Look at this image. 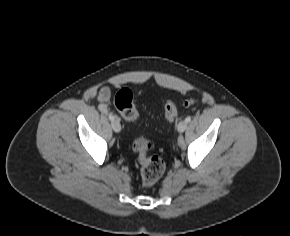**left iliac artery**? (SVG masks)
Wrapping results in <instances>:
<instances>
[{
	"label": "left iliac artery",
	"instance_id": "left-iliac-artery-1",
	"mask_svg": "<svg viewBox=\"0 0 290 236\" xmlns=\"http://www.w3.org/2000/svg\"><path fill=\"white\" fill-rule=\"evenodd\" d=\"M185 121H186L187 123L190 122V121H191V117H190V116L186 117Z\"/></svg>",
	"mask_w": 290,
	"mask_h": 236
}]
</instances>
